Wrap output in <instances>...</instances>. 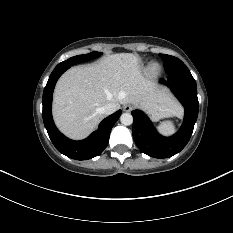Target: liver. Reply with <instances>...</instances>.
Instances as JSON below:
<instances>
[{
    "label": "liver",
    "instance_id": "6515ba94",
    "mask_svg": "<svg viewBox=\"0 0 233 233\" xmlns=\"http://www.w3.org/2000/svg\"><path fill=\"white\" fill-rule=\"evenodd\" d=\"M109 103L117 109L132 103L156 120L181 113L165 91L143 76L138 56L118 53L65 72L55 88L53 117L61 132L80 140L97 127L104 118L99 108Z\"/></svg>",
    "mask_w": 233,
    "mask_h": 233
}]
</instances>
